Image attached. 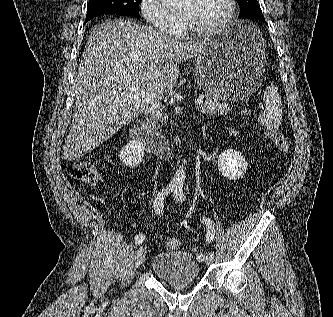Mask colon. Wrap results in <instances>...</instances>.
Listing matches in <instances>:
<instances>
[{"label":"colon","mask_w":333,"mask_h":317,"mask_svg":"<svg viewBox=\"0 0 333 317\" xmlns=\"http://www.w3.org/2000/svg\"><path fill=\"white\" fill-rule=\"evenodd\" d=\"M241 115L249 119L251 117V111L244 109L241 111ZM265 136L269 138L278 148L281 154H286L289 150V142L284 134L276 130H268ZM67 171L69 175L79 181H83L91 186H97L100 183V175L95 166L88 161H78L68 166ZM167 247L176 250L181 247V241L176 238H171L166 241Z\"/></svg>","instance_id":"1"}]
</instances>
